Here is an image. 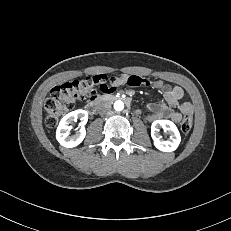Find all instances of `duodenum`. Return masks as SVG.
<instances>
[{"label": "duodenum", "instance_id": "1", "mask_svg": "<svg viewBox=\"0 0 231 231\" xmlns=\"http://www.w3.org/2000/svg\"><path fill=\"white\" fill-rule=\"evenodd\" d=\"M116 100H123L127 104H130L131 102V99L127 96L106 93L88 102L87 105L85 106V109L89 114L92 115L96 113L98 107L102 103L109 102V101H116Z\"/></svg>", "mask_w": 231, "mask_h": 231}]
</instances>
